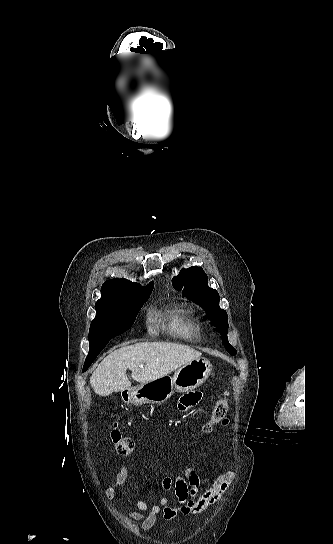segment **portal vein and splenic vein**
<instances>
[{
	"mask_svg": "<svg viewBox=\"0 0 333 544\" xmlns=\"http://www.w3.org/2000/svg\"><path fill=\"white\" fill-rule=\"evenodd\" d=\"M144 364L139 365L140 368H143Z\"/></svg>",
	"mask_w": 333,
	"mask_h": 544,
	"instance_id": "portal-vein-and-splenic-vein-1",
	"label": "portal vein and splenic vein"
}]
</instances>
